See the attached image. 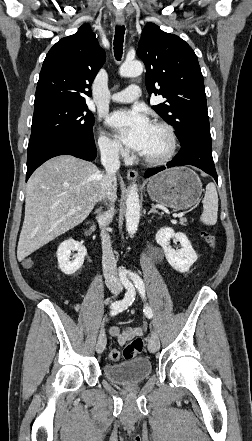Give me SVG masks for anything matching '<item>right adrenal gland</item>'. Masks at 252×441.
Here are the masks:
<instances>
[{
	"mask_svg": "<svg viewBox=\"0 0 252 441\" xmlns=\"http://www.w3.org/2000/svg\"><path fill=\"white\" fill-rule=\"evenodd\" d=\"M101 209L97 210L96 213L100 212Z\"/></svg>",
	"mask_w": 252,
	"mask_h": 441,
	"instance_id": "2a0ac1e0",
	"label": "right adrenal gland"
}]
</instances>
